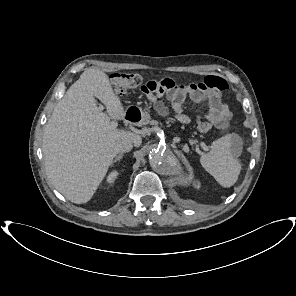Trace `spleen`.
Returning a JSON list of instances; mask_svg holds the SVG:
<instances>
[{
  "mask_svg": "<svg viewBox=\"0 0 296 296\" xmlns=\"http://www.w3.org/2000/svg\"><path fill=\"white\" fill-rule=\"evenodd\" d=\"M238 147V138L233 134H226L213 141L211 151L200 158L203 168L224 187L232 186L241 171Z\"/></svg>",
  "mask_w": 296,
  "mask_h": 296,
  "instance_id": "1",
  "label": "spleen"
}]
</instances>
